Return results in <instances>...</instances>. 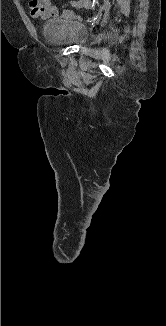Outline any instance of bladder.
Here are the masks:
<instances>
[{"label":"bladder","mask_w":166,"mask_h":326,"mask_svg":"<svg viewBox=\"0 0 166 326\" xmlns=\"http://www.w3.org/2000/svg\"><path fill=\"white\" fill-rule=\"evenodd\" d=\"M46 39L57 45H84L88 29L74 18L54 17L43 24Z\"/></svg>","instance_id":"1"}]
</instances>
